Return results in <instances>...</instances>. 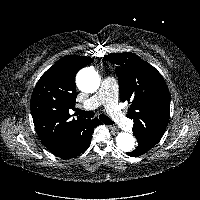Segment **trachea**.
I'll use <instances>...</instances> for the list:
<instances>
[{
  "instance_id": "1",
  "label": "trachea",
  "mask_w": 200,
  "mask_h": 200,
  "mask_svg": "<svg viewBox=\"0 0 200 200\" xmlns=\"http://www.w3.org/2000/svg\"><path fill=\"white\" fill-rule=\"evenodd\" d=\"M75 111H76L77 115H80V116H82L84 118H88V119L93 118L94 115H95V113L93 111H84V110H80V109H77V108L75 109ZM99 118L106 125H113L114 124V122L109 117H107L106 115L101 114L99 116Z\"/></svg>"
}]
</instances>
